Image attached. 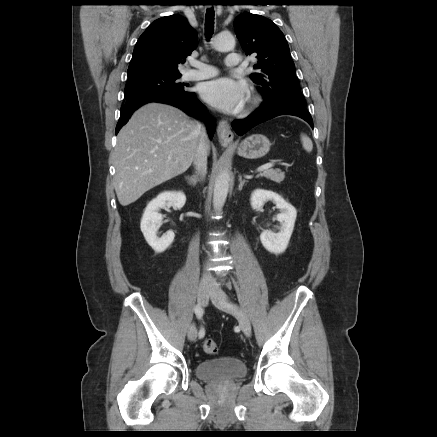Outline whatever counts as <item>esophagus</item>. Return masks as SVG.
Here are the masks:
<instances>
[{"mask_svg": "<svg viewBox=\"0 0 437 437\" xmlns=\"http://www.w3.org/2000/svg\"><path fill=\"white\" fill-rule=\"evenodd\" d=\"M217 136L219 142L223 146L232 144L234 134L231 131L230 125L227 120H220L217 127Z\"/></svg>", "mask_w": 437, "mask_h": 437, "instance_id": "1", "label": "esophagus"}]
</instances>
